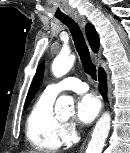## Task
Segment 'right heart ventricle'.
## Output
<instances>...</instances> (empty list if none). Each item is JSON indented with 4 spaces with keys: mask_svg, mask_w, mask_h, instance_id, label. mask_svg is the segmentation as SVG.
Masks as SVG:
<instances>
[{
    "mask_svg": "<svg viewBox=\"0 0 130 153\" xmlns=\"http://www.w3.org/2000/svg\"><path fill=\"white\" fill-rule=\"evenodd\" d=\"M55 97L44 91L35 101L26 119L27 141L40 152H55L63 141L62 121L53 112Z\"/></svg>",
    "mask_w": 130,
    "mask_h": 153,
    "instance_id": "right-heart-ventricle-1",
    "label": "right heart ventricle"
}]
</instances>
